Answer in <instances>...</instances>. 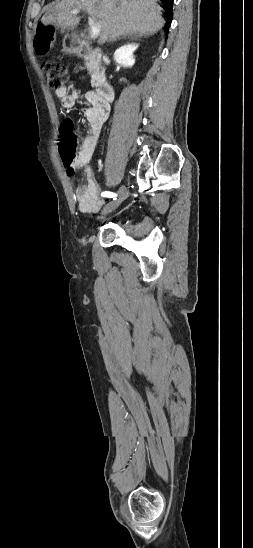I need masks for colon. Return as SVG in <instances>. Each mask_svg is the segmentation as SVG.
<instances>
[{"mask_svg": "<svg viewBox=\"0 0 253 548\" xmlns=\"http://www.w3.org/2000/svg\"><path fill=\"white\" fill-rule=\"evenodd\" d=\"M53 41V30L41 27L38 30L36 43L40 49H47ZM43 72L49 88L57 90L67 81V69L64 65L48 61L43 64ZM77 136L68 125L64 126L59 142V152L65 164H70L76 157Z\"/></svg>", "mask_w": 253, "mask_h": 548, "instance_id": "obj_1", "label": "colon"}]
</instances>
